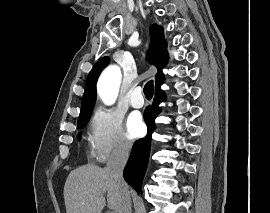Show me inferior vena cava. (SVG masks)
Returning <instances> with one entry per match:
<instances>
[{"label": "inferior vena cava", "mask_w": 270, "mask_h": 213, "mask_svg": "<svg viewBox=\"0 0 270 213\" xmlns=\"http://www.w3.org/2000/svg\"><path fill=\"white\" fill-rule=\"evenodd\" d=\"M130 148L129 143L119 142L114 147L106 166V170L114 177L120 188L121 208L119 213H131V198L128 186L123 178V169L128 160Z\"/></svg>", "instance_id": "obj_1"}]
</instances>
